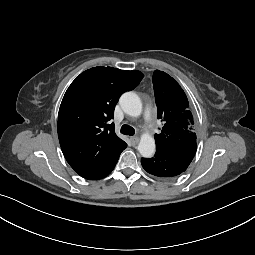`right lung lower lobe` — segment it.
Masks as SVG:
<instances>
[{"mask_svg":"<svg viewBox=\"0 0 255 255\" xmlns=\"http://www.w3.org/2000/svg\"><path fill=\"white\" fill-rule=\"evenodd\" d=\"M117 161H118V160H117ZM117 161H116L114 164H112V165L110 166V168H108L106 171H104V172L101 173L98 177H96V178H94V179L103 178V177L107 176L109 173H111V171L114 169V167H115ZM91 180H93V179H91Z\"/></svg>","mask_w":255,"mask_h":255,"instance_id":"obj_1","label":"right lung lower lobe"}]
</instances>
